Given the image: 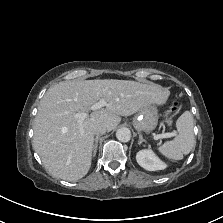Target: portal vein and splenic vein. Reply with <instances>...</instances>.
<instances>
[{
  "instance_id": "18ae733b",
  "label": "portal vein and splenic vein",
  "mask_w": 223,
  "mask_h": 223,
  "mask_svg": "<svg viewBox=\"0 0 223 223\" xmlns=\"http://www.w3.org/2000/svg\"><path fill=\"white\" fill-rule=\"evenodd\" d=\"M106 101L104 99H101L99 102L93 104L91 106V110H97L100 109L104 106H106ZM86 114L85 113H76L75 114V118L78 119L79 121H82L83 119H85ZM154 139L158 140V139H163V138H171L174 136L173 133H162V134H154Z\"/></svg>"
}]
</instances>
